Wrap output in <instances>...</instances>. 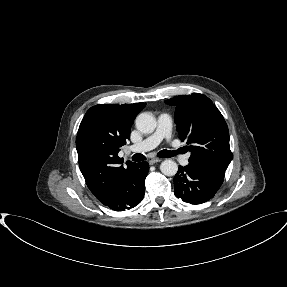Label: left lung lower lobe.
Segmentation results:
<instances>
[{"label":"left lung lower lobe","instance_id":"left-lung-lower-lobe-1","mask_svg":"<svg viewBox=\"0 0 287 287\" xmlns=\"http://www.w3.org/2000/svg\"><path fill=\"white\" fill-rule=\"evenodd\" d=\"M224 172L213 168L189 163L179 166L173 178L174 193L177 198L190 204H201L210 200L219 190L224 180Z\"/></svg>","mask_w":287,"mask_h":287}]
</instances>
